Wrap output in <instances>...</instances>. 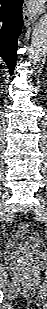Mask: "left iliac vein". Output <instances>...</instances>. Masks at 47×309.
I'll return each mask as SVG.
<instances>
[{
  "mask_svg": "<svg viewBox=\"0 0 47 309\" xmlns=\"http://www.w3.org/2000/svg\"><path fill=\"white\" fill-rule=\"evenodd\" d=\"M40 200V204L35 208L34 212L37 217L39 218H45L46 210H45V199L42 196L38 197Z\"/></svg>",
  "mask_w": 47,
  "mask_h": 309,
  "instance_id": "obj_1",
  "label": "left iliac vein"
}]
</instances>
